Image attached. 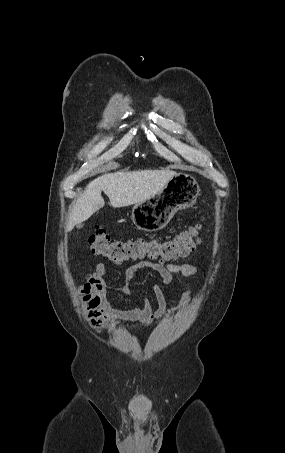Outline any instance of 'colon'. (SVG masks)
Returning a JSON list of instances; mask_svg holds the SVG:
<instances>
[{"label":"colon","mask_w":285,"mask_h":453,"mask_svg":"<svg viewBox=\"0 0 285 453\" xmlns=\"http://www.w3.org/2000/svg\"><path fill=\"white\" fill-rule=\"evenodd\" d=\"M202 225L197 224L167 239L134 238L115 241L102 228H96L89 237L93 254L107 257L115 263L128 260L150 259L169 261L188 256L201 243Z\"/></svg>","instance_id":"colon-1"}]
</instances>
